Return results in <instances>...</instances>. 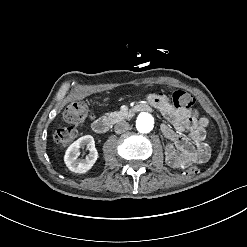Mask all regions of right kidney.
<instances>
[{"instance_id": "obj_1", "label": "right kidney", "mask_w": 247, "mask_h": 247, "mask_svg": "<svg viewBox=\"0 0 247 247\" xmlns=\"http://www.w3.org/2000/svg\"><path fill=\"white\" fill-rule=\"evenodd\" d=\"M89 150L85 159H79L80 148ZM98 158V152L95 148L94 138L91 135H85L72 143L65 152L64 162L70 171L75 173H85L92 168Z\"/></svg>"}]
</instances>
